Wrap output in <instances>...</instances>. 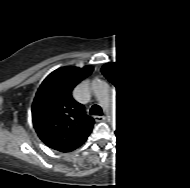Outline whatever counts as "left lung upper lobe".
<instances>
[{
    "label": "left lung upper lobe",
    "instance_id": "1",
    "mask_svg": "<svg viewBox=\"0 0 190 188\" xmlns=\"http://www.w3.org/2000/svg\"><path fill=\"white\" fill-rule=\"evenodd\" d=\"M102 73L117 90L127 124L156 131L167 126L168 94L149 69L137 62H121L105 65Z\"/></svg>",
    "mask_w": 190,
    "mask_h": 188
}]
</instances>
